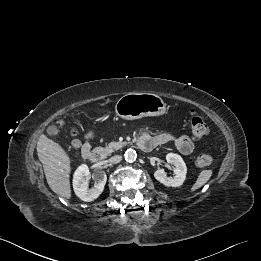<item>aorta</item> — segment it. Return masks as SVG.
<instances>
[{"instance_id": "1", "label": "aorta", "mask_w": 261, "mask_h": 261, "mask_svg": "<svg viewBox=\"0 0 261 261\" xmlns=\"http://www.w3.org/2000/svg\"><path fill=\"white\" fill-rule=\"evenodd\" d=\"M124 156L127 162H134L137 158V153L133 149H127Z\"/></svg>"}]
</instances>
